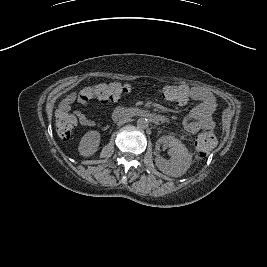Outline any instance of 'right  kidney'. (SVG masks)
Listing matches in <instances>:
<instances>
[{
    "label": "right kidney",
    "mask_w": 267,
    "mask_h": 267,
    "mask_svg": "<svg viewBox=\"0 0 267 267\" xmlns=\"http://www.w3.org/2000/svg\"><path fill=\"white\" fill-rule=\"evenodd\" d=\"M101 136L96 130L88 131L80 140L78 152L83 157L92 156L99 148Z\"/></svg>",
    "instance_id": "obj_1"
}]
</instances>
